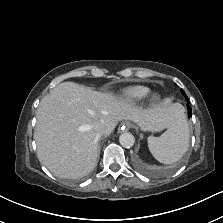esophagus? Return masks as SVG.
Returning <instances> with one entry per match:
<instances>
[{"label": "esophagus", "mask_w": 223, "mask_h": 223, "mask_svg": "<svg viewBox=\"0 0 223 223\" xmlns=\"http://www.w3.org/2000/svg\"><path fill=\"white\" fill-rule=\"evenodd\" d=\"M130 127H131V124L129 122H124V123L121 124L120 129L121 130H129Z\"/></svg>", "instance_id": "esophagus-1"}]
</instances>
